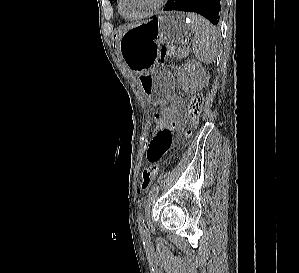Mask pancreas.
<instances>
[{
  "label": "pancreas",
  "mask_w": 299,
  "mask_h": 273,
  "mask_svg": "<svg viewBox=\"0 0 299 273\" xmlns=\"http://www.w3.org/2000/svg\"><path fill=\"white\" fill-rule=\"evenodd\" d=\"M189 54H190V48L189 47L177 48L176 52H175V56L179 59L187 57Z\"/></svg>",
  "instance_id": "1"
}]
</instances>
